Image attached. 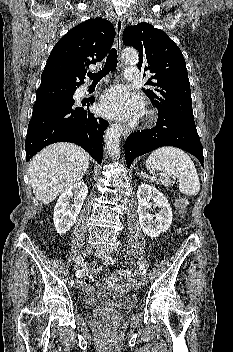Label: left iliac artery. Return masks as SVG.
<instances>
[{
  "label": "left iliac artery",
  "mask_w": 233,
  "mask_h": 352,
  "mask_svg": "<svg viewBox=\"0 0 233 352\" xmlns=\"http://www.w3.org/2000/svg\"><path fill=\"white\" fill-rule=\"evenodd\" d=\"M116 260H117L116 258H113L110 255L105 257V262L107 264H113L116 262ZM139 269H140L141 274L146 276V269L143 264L139 263Z\"/></svg>",
  "instance_id": "1"
}]
</instances>
